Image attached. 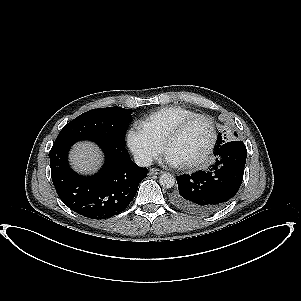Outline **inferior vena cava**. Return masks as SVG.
Returning <instances> with one entry per match:
<instances>
[{
    "label": "inferior vena cava",
    "mask_w": 301,
    "mask_h": 301,
    "mask_svg": "<svg viewBox=\"0 0 301 301\" xmlns=\"http://www.w3.org/2000/svg\"><path fill=\"white\" fill-rule=\"evenodd\" d=\"M152 158L144 155V154H136L134 155V162L139 166V167H149L152 165Z\"/></svg>",
    "instance_id": "inferior-vena-cava-1"
}]
</instances>
